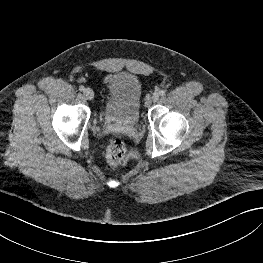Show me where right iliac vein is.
<instances>
[{"label":"right iliac vein","mask_w":263,"mask_h":263,"mask_svg":"<svg viewBox=\"0 0 263 263\" xmlns=\"http://www.w3.org/2000/svg\"><path fill=\"white\" fill-rule=\"evenodd\" d=\"M84 96L87 100H92L94 98V92L90 88L84 90Z\"/></svg>","instance_id":"1"}]
</instances>
